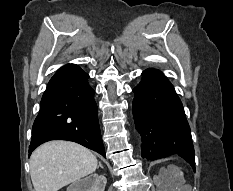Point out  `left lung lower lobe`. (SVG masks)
Segmentation results:
<instances>
[{"instance_id": "1", "label": "left lung lower lobe", "mask_w": 233, "mask_h": 191, "mask_svg": "<svg viewBox=\"0 0 233 191\" xmlns=\"http://www.w3.org/2000/svg\"><path fill=\"white\" fill-rule=\"evenodd\" d=\"M142 76L133 89L132 103L134 121L142 138V157L155 160L177 155L195 170L190 127L172 84L156 69H147Z\"/></svg>"}]
</instances>
